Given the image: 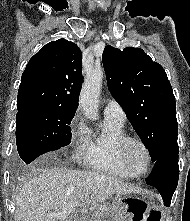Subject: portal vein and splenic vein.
Here are the masks:
<instances>
[{"label": "portal vein and splenic vein", "mask_w": 190, "mask_h": 221, "mask_svg": "<svg viewBox=\"0 0 190 221\" xmlns=\"http://www.w3.org/2000/svg\"><path fill=\"white\" fill-rule=\"evenodd\" d=\"M79 204H80V202H74V203L68 205L61 213L53 214L51 216L55 217V218H60V219L66 218L67 216H69L75 210V208ZM81 212L86 213L87 210L85 208H83V209H81Z\"/></svg>", "instance_id": "portal-vein-and-splenic-vein-1"}]
</instances>
